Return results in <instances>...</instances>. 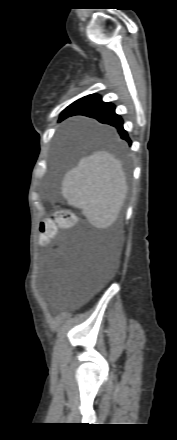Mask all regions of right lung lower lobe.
I'll list each match as a JSON object with an SVG mask.
<instances>
[{"label": "right lung lower lobe", "instance_id": "obj_1", "mask_svg": "<svg viewBox=\"0 0 177 440\" xmlns=\"http://www.w3.org/2000/svg\"><path fill=\"white\" fill-rule=\"evenodd\" d=\"M73 115H85L97 119L100 123L114 126L115 128H117L121 138L131 144L128 134L123 128V120L119 115L115 113V106L113 104L100 100L70 116Z\"/></svg>", "mask_w": 177, "mask_h": 440}]
</instances>
